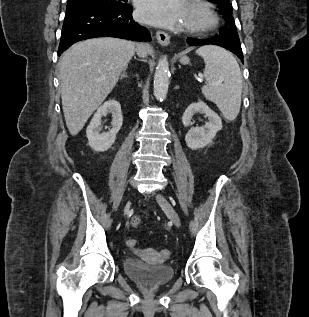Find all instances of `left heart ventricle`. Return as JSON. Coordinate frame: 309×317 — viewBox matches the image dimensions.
Returning a JSON list of instances; mask_svg holds the SVG:
<instances>
[{
  "mask_svg": "<svg viewBox=\"0 0 309 317\" xmlns=\"http://www.w3.org/2000/svg\"><path fill=\"white\" fill-rule=\"evenodd\" d=\"M200 20V16L195 13L191 8H190V11H189V14H188V17H187V21H186V24L187 23H191V22H196V21H199Z\"/></svg>",
  "mask_w": 309,
  "mask_h": 317,
  "instance_id": "left-heart-ventricle-1",
  "label": "left heart ventricle"
}]
</instances>
